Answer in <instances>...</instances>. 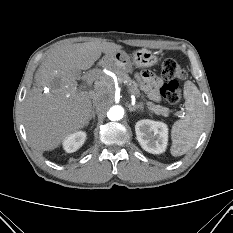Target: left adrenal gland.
Here are the masks:
<instances>
[{"instance_id": "a2214340", "label": "left adrenal gland", "mask_w": 233, "mask_h": 233, "mask_svg": "<svg viewBox=\"0 0 233 233\" xmlns=\"http://www.w3.org/2000/svg\"><path fill=\"white\" fill-rule=\"evenodd\" d=\"M128 108H129V111H130V112H134V111H137V110H139V109L142 110V106H141L140 104H137V105H135V106L129 105Z\"/></svg>"}]
</instances>
